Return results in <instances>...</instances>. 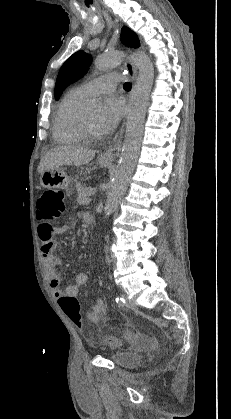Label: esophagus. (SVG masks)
I'll return each instance as SVG.
<instances>
[{"instance_id": "obj_1", "label": "esophagus", "mask_w": 231, "mask_h": 419, "mask_svg": "<svg viewBox=\"0 0 231 419\" xmlns=\"http://www.w3.org/2000/svg\"><path fill=\"white\" fill-rule=\"evenodd\" d=\"M125 68L133 82H135L137 77V68L135 64L127 58L125 60ZM124 126H125V120L121 123L119 126V129L115 135L114 140L112 141L109 148L102 154V158L105 160L113 161L120 155L121 147H122V138L124 133Z\"/></svg>"}]
</instances>
